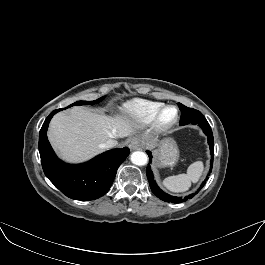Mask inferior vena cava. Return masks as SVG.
Masks as SVG:
<instances>
[{"mask_svg":"<svg viewBox=\"0 0 265 265\" xmlns=\"http://www.w3.org/2000/svg\"><path fill=\"white\" fill-rule=\"evenodd\" d=\"M118 144V142L114 139H109L105 143H103L101 146L103 149H109L112 147H115Z\"/></svg>","mask_w":265,"mask_h":265,"instance_id":"obj_1","label":"inferior vena cava"}]
</instances>
